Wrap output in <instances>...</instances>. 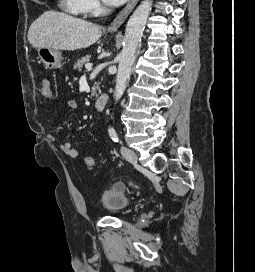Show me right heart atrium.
<instances>
[{
  "label": "right heart atrium",
  "mask_w": 255,
  "mask_h": 272,
  "mask_svg": "<svg viewBox=\"0 0 255 272\" xmlns=\"http://www.w3.org/2000/svg\"><path fill=\"white\" fill-rule=\"evenodd\" d=\"M83 13L92 14L99 9L98 0H80Z\"/></svg>",
  "instance_id": "d8ad5b80"
}]
</instances>
